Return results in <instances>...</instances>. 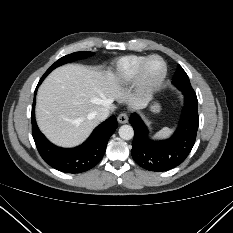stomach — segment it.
Returning <instances> with one entry per match:
<instances>
[{
  "instance_id": "0dacf381",
  "label": "stomach",
  "mask_w": 233,
  "mask_h": 233,
  "mask_svg": "<svg viewBox=\"0 0 233 233\" xmlns=\"http://www.w3.org/2000/svg\"><path fill=\"white\" fill-rule=\"evenodd\" d=\"M159 110H160V106H159V104L158 103H153L152 105H151V111L152 112H154V113H157V112H159Z\"/></svg>"
}]
</instances>
